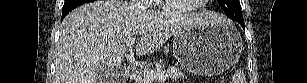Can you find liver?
Returning a JSON list of instances; mask_svg holds the SVG:
<instances>
[{
  "instance_id": "1",
  "label": "liver",
  "mask_w": 307,
  "mask_h": 83,
  "mask_svg": "<svg viewBox=\"0 0 307 83\" xmlns=\"http://www.w3.org/2000/svg\"><path fill=\"white\" fill-rule=\"evenodd\" d=\"M215 22L219 20L211 12L173 16L122 0L83 4L61 24L55 51L56 83H101L98 73L121 66L128 41H134L135 54L143 57L187 28Z\"/></svg>"
}]
</instances>
